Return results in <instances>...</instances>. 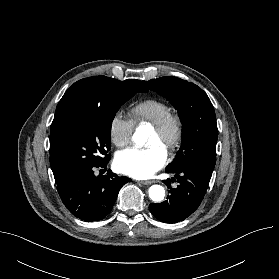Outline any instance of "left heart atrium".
I'll return each instance as SVG.
<instances>
[{
  "instance_id": "obj_1",
  "label": "left heart atrium",
  "mask_w": 279,
  "mask_h": 279,
  "mask_svg": "<svg viewBox=\"0 0 279 279\" xmlns=\"http://www.w3.org/2000/svg\"><path fill=\"white\" fill-rule=\"evenodd\" d=\"M167 161V152L158 145L146 148L130 147L116 154L115 168L136 179L153 176Z\"/></svg>"
}]
</instances>
